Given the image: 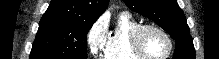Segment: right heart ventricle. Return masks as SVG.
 I'll list each match as a JSON object with an SVG mask.
<instances>
[{
    "instance_id": "e07e8e85",
    "label": "right heart ventricle",
    "mask_w": 219,
    "mask_h": 59,
    "mask_svg": "<svg viewBox=\"0 0 219 59\" xmlns=\"http://www.w3.org/2000/svg\"><path fill=\"white\" fill-rule=\"evenodd\" d=\"M140 23L129 13L118 15L114 28L107 34L104 59H142L131 49V36Z\"/></svg>"
}]
</instances>
